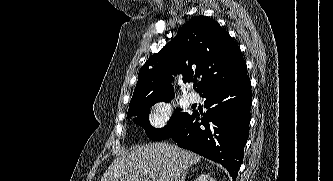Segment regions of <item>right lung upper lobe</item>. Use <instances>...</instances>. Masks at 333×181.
<instances>
[{
	"mask_svg": "<svg viewBox=\"0 0 333 181\" xmlns=\"http://www.w3.org/2000/svg\"><path fill=\"white\" fill-rule=\"evenodd\" d=\"M196 81L197 91L207 90L247 76L240 48L214 20L193 17L163 49L152 55L139 71L129 109L146 101L174 98L173 75Z\"/></svg>",
	"mask_w": 333,
	"mask_h": 181,
	"instance_id": "1",
	"label": "right lung upper lobe"
}]
</instances>
